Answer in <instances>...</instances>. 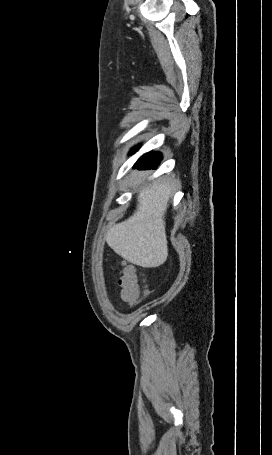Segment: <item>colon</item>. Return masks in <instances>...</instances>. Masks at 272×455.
Masks as SVG:
<instances>
[{
  "label": "colon",
  "instance_id": "colon-1",
  "mask_svg": "<svg viewBox=\"0 0 272 455\" xmlns=\"http://www.w3.org/2000/svg\"><path fill=\"white\" fill-rule=\"evenodd\" d=\"M119 285L123 300L129 304L137 301L141 294H145V291L141 287V280L133 266L127 265L123 268Z\"/></svg>",
  "mask_w": 272,
  "mask_h": 455
}]
</instances>
